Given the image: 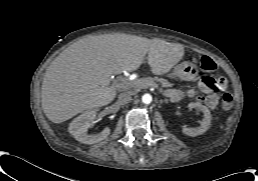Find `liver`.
Instances as JSON below:
<instances>
[{
    "instance_id": "1",
    "label": "liver",
    "mask_w": 258,
    "mask_h": 181,
    "mask_svg": "<svg viewBox=\"0 0 258 181\" xmlns=\"http://www.w3.org/2000/svg\"><path fill=\"white\" fill-rule=\"evenodd\" d=\"M183 45L129 34H102L78 40L47 68L42 108L53 123L111 103L117 92L109 77L137 70L147 60L154 75L168 73L183 57Z\"/></svg>"
}]
</instances>
